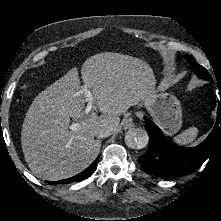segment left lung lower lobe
<instances>
[{"instance_id": "0a47b994", "label": "left lung lower lobe", "mask_w": 221, "mask_h": 221, "mask_svg": "<svg viewBox=\"0 0 221 221\" xmlns=\"http://www.w3.org/2000/svg\"><path fill=\"white\" fill-rule=\"evenodd\" d=\"M211 81V80H210ZM221 101L218 105L217 121L209 136L199 146L182 148L171 144L159 127L145 117L150 145L138 158L148 174L162 178L183 176L195 172L215 151L221 147Z\"/></svg>"}]
</instances>
